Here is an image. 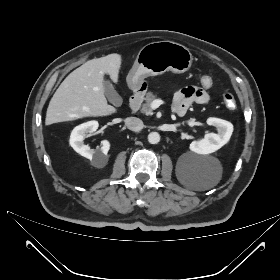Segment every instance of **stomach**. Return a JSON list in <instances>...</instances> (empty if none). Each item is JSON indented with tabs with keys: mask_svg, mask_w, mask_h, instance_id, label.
Wrapping results in <instances>:
<instances>
[{
	"mask_svg": "<svg viewBox=\"0 0 280 280\" xmlns=\"http://www.w3.org/2000/svg\"><path fill=\"white\" fill-rule=\"evenodd\" d=\"M188 48L172 41L152 42L138 52L128 76L127 84L133 91L145 89V78L172 71L184 73L192 65Z\"/></svg>",
	"mask_w": 280,
	"mask_h": 280,
	"instance_id": "0dacf381",
	"label": "stomach"
}]
</instances>
